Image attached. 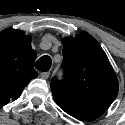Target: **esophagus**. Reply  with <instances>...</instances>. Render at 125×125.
I'll return each instance as SVG.
<instances>
[{"mask_svg": "<svg viewBox=\"0 0 125 125\" xmlns=\"http://www.w3.org/2000/svg\"><path fill=\"white\" fill-rule=\"evenodd\" d=\"M49 76H50V72H42V73L40 74V77H41L42 79H48Z\"/></svg>", "mask_w": 125, "mask_h": 125, "instance_id": "34e87169", "label": "esophagus"}]
</instances>
